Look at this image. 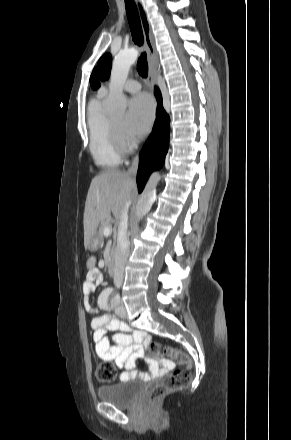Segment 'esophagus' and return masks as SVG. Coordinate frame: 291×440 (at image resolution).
I'll list each match as a JSON object with an SVG mask.
<instances>
[{
	"label": "esophagus",
	"mask_w": 291,
	"mask_h": 440,
	"mask_svg": "<svg viewBox=\"0 0 291 440\" xmlns=\"http://www.w3.org/2000/svg\"><path fill=\"white\" fill-rule=\"evenodd\" d=\"M136 5H137L138 12L140 15V20H141L143 35H144V41H145V45H146V49H147L148 57H149L148 84L153 87L155 84L154 63L157 59V51H156L155 44H154L152 28H151L150 22L148 20L147 13L143 7V4L139 0H136Z\"/></svg>",
	"instance_id": "1"
}]
</instances>
